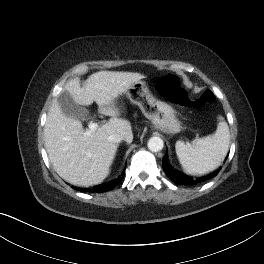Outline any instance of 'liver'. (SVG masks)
Instances as JSON below:
<instances>
[{"label":"liver","mask_w":264,"mask_h":264,"mask_svg":"<svg viewBox=\"0 0 264 264\" xmlns=\"http://www.w3.org/2000/svg\"><path fill=\"white\" fill-rule=\"evenodd\" d=\"M143 78L144 75L133 72L99 71L90 75L83 87L79 78L65 84L64 90L79 105L89 106L95 102L99 113L111 116L107 123L87 135L82 123L66 116L54 100L44 127L45 147L54 170L65 181L91 186L109 175L118 144L108 137L119 134L128 143L133 140L131 124L117 117L119 110L114 100Z\"/></svg>","instance_id":"6515ba94"}]
</instances>
